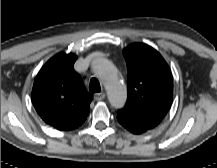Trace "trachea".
Instances as JSON below:
<instances>
[{"label": "trachea", "instance_id": "1", "mask_svg": "<svg viewBox=\"0 0 217 168\" xmlns=\"http://www.w3.org/2000/svg\"><path fill=\"white\" fill-rule=\"evenodd\" d=\"M90 91L92 93H97L101 91L100 83L96 78L90 80Z\"/></svg>", "mask_w": 217, "mask_h": 168}]
</instances>
